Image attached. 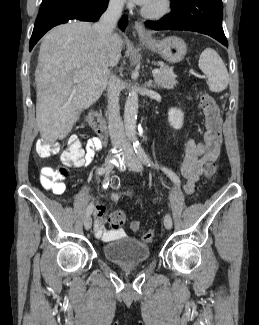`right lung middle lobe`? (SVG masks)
Segmentation results:
<instances>
[{
    "instance_id": "1",
    "label": "right lung middle lobe",
    "mask_w": 259,
    "mask_h": 325,
    "mask_svg": "<svg viewBox=\"0 0 259 325\" xmlns=\"http://www.w3.org/2000/svg\"><path fill=\"white\" fill-rule=\"evenodd\" d=\"M49 1H51V0H43V1H42V4H45V3L49 2ZM42 4H41V5H42Z\"/></svg>"
}]
</instances>
